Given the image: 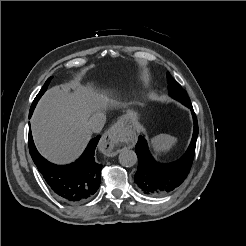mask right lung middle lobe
<instances>
[{
    "instance_id": "dd1d6c3e",
    "label": "right lung middle lobe",
    "mask_w": 246,
    "mask_h": 246,
    "mask_svg": "<svg viewBox=\"0 0 246 246\" xmlns=\"http://www.w3.org/2000/svg\"><path fill=\"white\" fill-rule=\"evenodd\" d=\"M51 81V77L47 79V81L45 82V84L43 85L42 89L40 90V92L38 93V95L36 96V98L34 99L32 105H31V109L34 110L37 102L39 101L40 97L45 93L49 83Z\"/></svg>"
}]
</instances>
